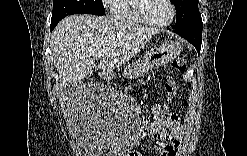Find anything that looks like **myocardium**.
<instances>
[{
  "label": "myocardium",
  "mask_w": 247,
  "mask_h": 156,
  "mask_svg": "<svg viewBox=\"0 0 247 156\" xmlns=\"http://www.w3.org/2000/svg\"><path fill=\"white\" fill-rule=\"evenodd\" d=\"M164 1L167 3V5L170 8V17L168 18V20L163 21V22H156V21L149 19L145 15L144 9H143V5L146 1H144V0L136 1L135 10H136L137 15L141 19V21L150 27H166V26L170 25L175 18V7L170 0H164Z\"/></svg>",
  "instance_id": "obj_1"
}]
</instances>
